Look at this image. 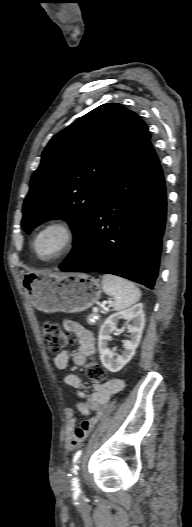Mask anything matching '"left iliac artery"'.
Returning <instances> with one entry per match:
<instances>
[{"label": "left iliac artery", "instance_id": "left-iliac-artery-1", "mask_svg": "<svg viewBox=\"0 0 192 527\" xmlns=\"http://www.w3.org/2000/svg\"><path fill=\"white\" fill-rule=\"evenodd\" d=\"M81 455H82V450H79L73 456L74 465H73L72 472L74 473V475L77 474V470H78L77 463L79 462ZM72 487H73V490L79 491V479L77 477L72 478Z\"/></svg>", "mask_w": 192, "mask_h": 527}]
</instances>
